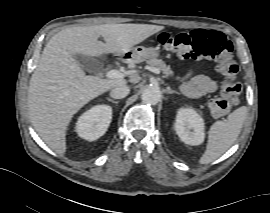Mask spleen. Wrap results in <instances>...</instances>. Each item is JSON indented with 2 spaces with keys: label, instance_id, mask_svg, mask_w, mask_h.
I'll list each match as a JSON object with an SVG mask.
<instances>
[{
  "label": "spleen",
  "instance_id": "spleen-1",
  "mask_svg": "<svg viewBox=\"0 0 270 213\" xmlns=\"http://www.w3.org/2000/svg\"><path fill=\"white\" fill-rule=\"evenodd\" d=\"M247 108L239 107L230 113L226 121H216L208 132L207 147L200 158L201 164H208L224 154L238 138Z\"/></svg>",
  "mask_w": 270,
  "mask_h": 213
}]
</instances>
